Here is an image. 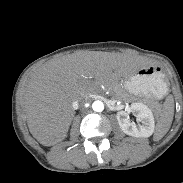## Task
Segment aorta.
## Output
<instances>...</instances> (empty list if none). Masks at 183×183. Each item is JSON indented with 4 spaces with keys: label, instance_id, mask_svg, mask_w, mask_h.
<instances>
[{
    "label": "aorta",
    "instance_id": "762f6f07",
    "mask_svg": "<svg viewBox=\"0 0 183 183\" xmlns=\"http://www.w3.org/2000/svg\"><path fill=\"white\" fill-rule=\"evenodd\" d=\"M92 108L96 112H102L104 110V104L101 101H94L92 104Z\"/></svg>",
    "mask_w": 183,
    "mask_h": 183
}]
</instances>
